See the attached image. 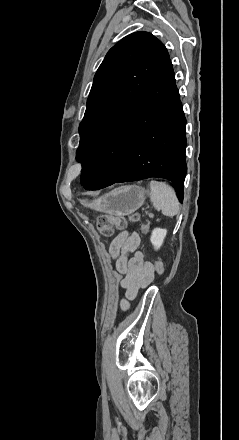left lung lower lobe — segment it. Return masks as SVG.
Returning <instances> with one entry per match:
<instances>
[{
  "instance_id": "0a47b994",
  "label": "left lung lower lobe",
  "mask_w": 239,
  "mask_h": 440,
  "mask_svg": "<svg viewBox=\"0 0 239 440\" xmlns=\"http://www.w3.org/2000/svg\"><path fill=\"white\" fill-rule=\"evenodd\" d=\"M186 119L169 59L162 72L108 132L81 171L85 189L149 177L172 181L183 200Z\"/></svg>"
}]
</instances>
